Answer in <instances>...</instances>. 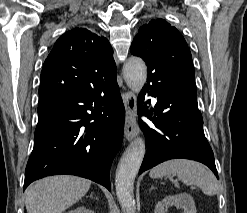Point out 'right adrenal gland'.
I'll return each mask as SVG.
<instances>
[{
  "label": "right adrenal gland",
  "mask_w": 247,
  "mask_h": 213,
  "mask_svg": "<svg viewBox=\"0 0 247 213\" xmlns=\"http://www.w3.org/2000/svg\"><path fill=\"white\" fill-rule=\"evenodd\" d=\"M90 197L93 198V194H91Z\"/></svg>",
  "instance_id": "1"
}]
</instances>
